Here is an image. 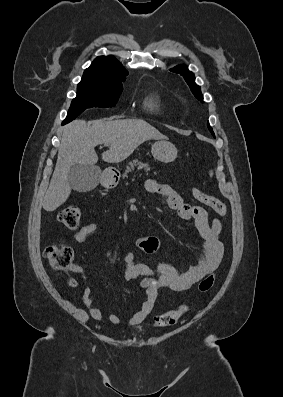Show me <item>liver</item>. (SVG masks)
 Listing matches in <instances>:
<instances>
[{
    "instance_id": "obj_1",
    "label": "liver",
    "mask_w": 283,
    "mask_h": 397,
    "mask_svg": "<svg viewBox=\"0 0 283 397\" xmlns=\"http://www.w3.org/2000/svg\"><path fill=\"white\" fill-rule=\"evenodd\" d=\"M155 127L141 119L96 120L87 123L74 120L63 129L58 157L48 190L43 200L46 211L61 206L71 193L67 174L73 165H92L98 162L95 147L109 144L102 153L107 163H119L128 158L143 142L165 139Z\"/></svg>"
}]
</instances>
